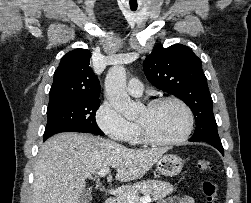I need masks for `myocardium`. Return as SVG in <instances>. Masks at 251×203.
Listing matches in <instances>:
<instances>
[{"instance_id": "f54148a6", "label": "myocardium", "mask_w": 251, "mask_h": 203, "mask_svg": "<svg viewBox=\"0 0 251 203\" xmlns=\"http://www.w3.org/2000/svg\"><path fill=\"white\" fill-rule=\"evenodd\" d=\"M169 102L178 104L184 110L187 117V125L184 132L175 139L161 140L153 137L144 124L137 122L140 137L145 143L153 146H175L183 143L190 137L194 128V114L190 106L184 100L175 96L161 97L150 101L146 105V108L151 110L158 107L159 105Z\"/></svg>"}]
</instances>
